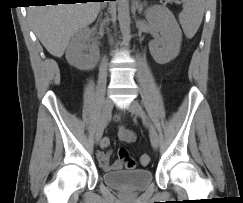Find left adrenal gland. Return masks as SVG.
<instances>
[{"mask_svg": "<svg viewBox=\"0 0 243 203\" xmlns=\"http://www.w3.org/2000/svg\"><path fill=\"white\" fill-rule=\"evenodd\" d=\"M134 9H137L138 10V13L141 14L142 11H143V4L140 3L138 0L135 1V3H134Z\"/></svg>", "mask_w": 243, "mask_h": 203, "instance_id": "left-adrenal-gland-1", "label": "left adrenal gland"}]
</instances>
